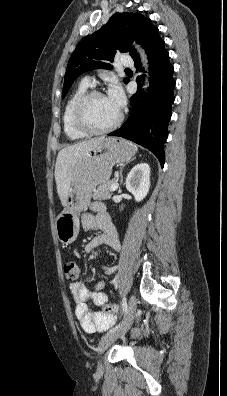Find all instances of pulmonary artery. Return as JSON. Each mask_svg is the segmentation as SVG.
I'll return each mask as SVG.
<instances>
[{"label":"pulmonary artery","mask_w":227,"mask_h":396,"mask_svg":"<svg viewBox=\"0 0 227 396\" xmlns=\"http://www.w3.org/2000/svg\"><path fill=\"white\" fill-rule=\"evenodd\" d=\"M121 65L125 66V67H132L134 65V62L130 57H124L121 60ZM83 82L86 83L87 85H93L94 79H93V77L86 76L83 79Z\"/></svg>","instance_id":"e3ab8cb5"}]
</instances>
